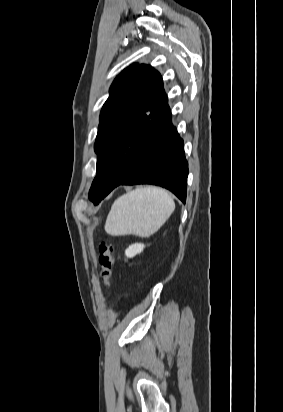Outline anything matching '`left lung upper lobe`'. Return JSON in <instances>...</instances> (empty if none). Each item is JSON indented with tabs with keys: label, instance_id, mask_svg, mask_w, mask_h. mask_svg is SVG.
<instances>
[{
	"label": "left lung upper lobe",
	"instance_id": "obj_1",
	"mask_svg": "<svg viewBox=\"0 0 283 412\" xmlns=\"http://www.w3.org/2000/svg\"><path fill=\"white\" fill-rule=\"evenodd\" d=\"M170 112L160 74L151 66L134 64L114 80L105 102L94 145L97 158L107 150L130 159L134 168L147 150L158 123ZM100 184L93 180L89 199Z\"/></svg>",
	"mask_w": 283,
	"mask_h": 412
}]
</instances>
